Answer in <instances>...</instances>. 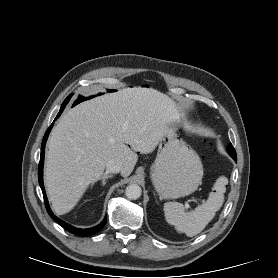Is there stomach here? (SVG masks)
Here are the masks:
<instances>
[{
  "label": "stomach",
  "mask_w": 278,
  "mask_h": 278,
  "mask_svg": "<svg viewBox=\"0 0 278 278\" xmlns=\"http://www.w3.org/2000/svg\"><path fill=\"white\" fill-rule=\"evenodd\" d=\"M203 177L198 154L178 138L174 126L169 127L159 142L157 157L151 167L154 188L162 199H177L197 190Z\"/></svg>",
  "instance_id": "obj_1"
}]
</instances>
